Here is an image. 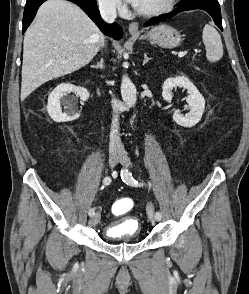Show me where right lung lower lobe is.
I'll return each instance as SVG.
<instances>
[{"instance_id": "right-lung-lower-lobe-1", "label": "right lung lower lobe", "mask_w": 249, "mask_h": 294, "mask_svg": "<svg viewBox=\"0 0 249 294\" xmlns=\"http://www.w3.org/2000/svg\"><path fill=\"white\" fill-rule=\"evenodd\" d=\"M46 0H27L24 15H23V29L22 33L26 31L28 26L33 21L39 6ZM77 4L101 29V31L113 37L114 39H121L123 36L122 28L116 23L106 24L100 17L99 10L95 0H68Z\"/></svg>"}]
</instances>
